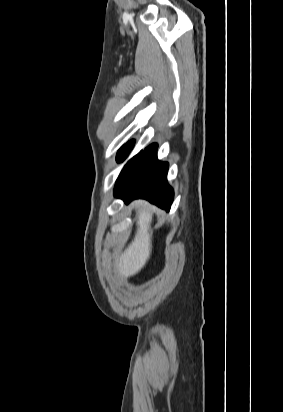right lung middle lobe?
<instances>
[{
	"label": "right lung middle lobe",
	"instance_id": "1",
	"mask_svg": "<svg viewBox=\"0 0 283 412\" xmlns=\"http://www.w3.org/2000/svg\"><path fill=\"white\" fill-rule=\"evenodd\" d=\"M135 140H131L128 143H126L125 145H123L117 152L116 155V161L118 163L123 162L126 157L128 156V154L130 153V151L132 150L133 146H134Z\"/></svg>",
	"mask_w": 283,
	"mask_h": 412
}]
</instances>
